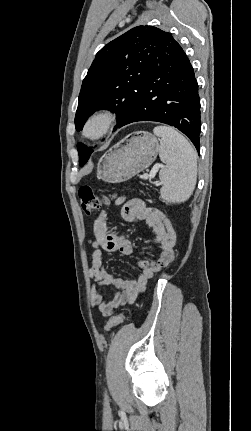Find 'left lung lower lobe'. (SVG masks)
Masks as SVG:
<instances>
[{"instance_id":"1","label":"left lung lower lobe","mask_w":251,"mask_h":431,"mask_svg":"<svg viewBox=\"0 0 251 431\" xmlns=\"http://www.w3.org/2000/svg\"><path fill=\"white\" fill-rule=\"evenodd\" d=\"M137 121L174 126L200 147V99L194 70L181 46L167 37L122 127Z\"/></svg>"}]
</instances>
